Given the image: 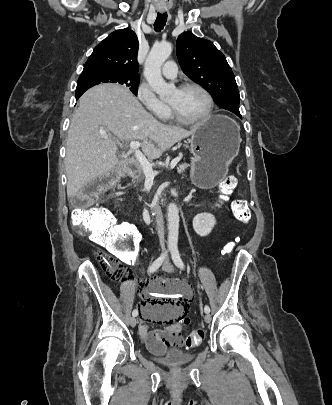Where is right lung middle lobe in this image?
Listing matches in <instances>:
<instances>
[{
	"label": "right lung middle lobe",
	"mask_w": 332,
	"mask_h": 405,
	"mask_svg": "<svg viewBox=\"0 0 332 405\" xmlns=\"http://www.w3.org/2000/svg\"><path fill=\"white\" fill-rule=\"evenodd\" d=\"M139 81V77L110 70L82 72L77 82L76 94L84 93L90 87L100 83H117L128 87L134 95H137Z\"/></svg>",
	"instance_id": "1"
}]
</instances>
